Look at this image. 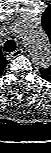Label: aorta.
<instances>
[{"instance_id": "obj_1", "label": "aorta", "mask_w": 51, "mask_h": 153, "mask_svg": "<svg viewBox=\"0 0 51 153\" xmlns=\"http://www.w3.org/2000/svg\"><path fill=\"white\" fill-rule=\"evenodd\" d=\"M14 29L16 37L27 50L33 63L47 68L51 61V50L44 30L41 27L32 26L25 21H21Z\"/></svg>"}]
</instances>
